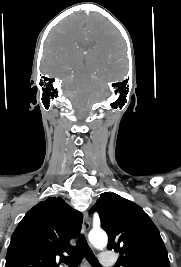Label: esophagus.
Returning a JSON list of instances; mask_svg holds the SVG:
<instances>
[{"label":"esophagus","mask_w":181,"mask_h":267,"mask_svg":"<svg viewBox=\"0 0 181 267\" xmlns=\"http://www.w3.org/2000/svg\"><path fill=\"white\" fill-rule=\"evenodd\" d=\"M82 228H83V232H84V234L86 236L88 231H89V229H90V217H89L88 212L84 213Z\"/></svg>","instance_id":"esophagus-1"}]
</instances>
